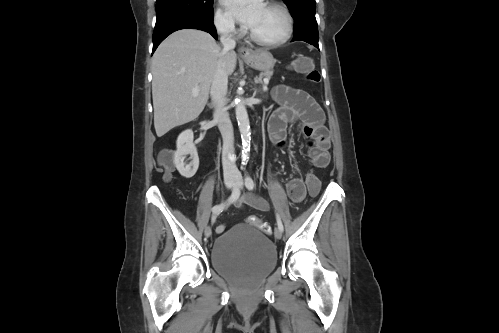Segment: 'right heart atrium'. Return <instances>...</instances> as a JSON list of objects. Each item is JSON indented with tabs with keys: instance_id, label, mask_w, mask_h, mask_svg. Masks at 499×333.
Instances as JSON below:
<instances>
[{
	"instance_id": "right-heart-atrium-1",
	"label": "right heart atrium",
	"mask_w": 499,
	"mask_h": 333,
	"mask_svg": "<svg viewBox=\"0 0 499 333\" xmlns=\"http://www.w3.org/2000/svg\"><path fill=\"white\" fill-rule=\"evenodd\" d=\"M216 30L223 35L232 36L237 33L236 26L231 17L222 9L217 8L213 18Z\"/></svg>"
}]
</instances>
